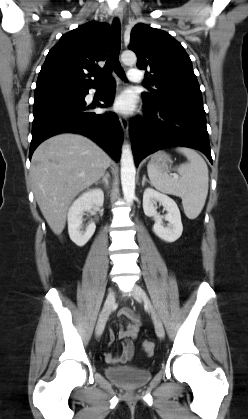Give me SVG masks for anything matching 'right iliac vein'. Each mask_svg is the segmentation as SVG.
<instances>
[{"label":"right iliac vein","instance_id":"1","mask_svg":"<svg viewBox=\"0 0 248 419\" xmlns=\"http://www.w3.org/2000/svg\"><path fill=\"white\" fill-rule=\"evenodd\" d=\"M114 303H115V292L114 290H110L104 304L103 314L101 315L95 329L96 337H100L102 335L105 328L108 314L111 311Z\"/></svg>","mask_w":248,"mask_h":419}]
</instances>
